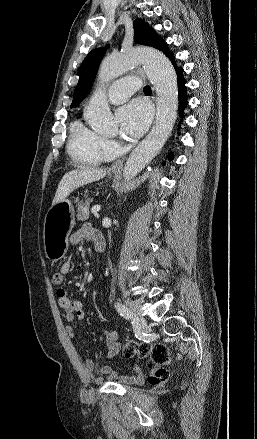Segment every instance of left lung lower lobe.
<instances>
[{
    "mask_svg": "<svg viewBox=\"0 0 257 439\" xmlns=\"http://www.w3.org/2000/svg\"><path fill=\"white\" fill-rule=\"evenodd\" d=\"M164 54L170 59V61L172 62L176 72H177V80H178V97H179V114L180 117H183V110L187 105V94H186V81L184 80L183 77V69L179 68L176 63H175V57L173 56V54L170 52V50L168 49V47L163 51ZM180 122H182V120H180ZM169 159H173V155L170 153L169 155Z\"/></svg>",
    "mask_w": 257,
    "mask_h": 439,
    "instance_id": "left-lung-lower-lobe-1",
    "label": "left lung lower lobe"
}]
</instances>
